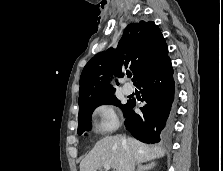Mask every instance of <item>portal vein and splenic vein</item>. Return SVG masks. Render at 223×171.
Here are the masks:
<instances>
[{"label": "portal vein and splenic vein", "mask_w": 223, "mask_h": 171, "mask_svg": "<svg viewBox=\"0 0 223 171\" xmlns=\"http://www.w3.org/2000/svg\"><path fill=\"white\" fill-rule=\"evenodd\" d=\"M103 167L105 168V170H110V165L109 164H104Z\"/></svg>", "instance_id": "1"}]
</instances>
